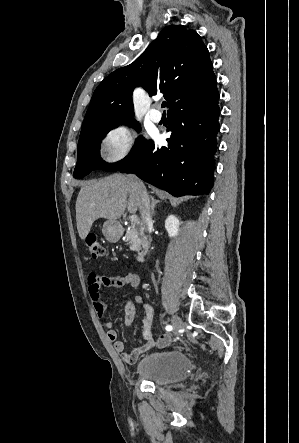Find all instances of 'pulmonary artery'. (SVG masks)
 I'll use <instances>...</instances> for the list:
<instances>
[{
  "instance_id": "e3ab8cb5",
  "label": "pulmonary artery",
  "mask_w": 299,
  "mask_h": 443,
  "mask_svg": "<svg viewBox=\"0 0 299 443\" xmlns=\"http://www.w3.org/2000/svg\"><path fill=\"white\" fill-rule=\"evenodd\" d=\"M149 116L153 122H159L162 119V115L157 109H153Z\"/></svg>"
}]
</instances>
